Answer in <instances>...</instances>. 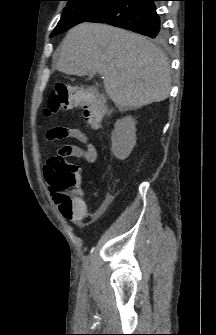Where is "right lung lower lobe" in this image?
<instances>
[{
  "instance_id": "1",
  "label": "right lung lower lobe",
  "mask_w": 216,
  "mask_h": 335,
  "mask_svg": "<svg viewBox=\"0 0 216 335\" xmlns=\"http://www.w3.org/2000/svg\"><path fill=\"white\" fill-rule=\"evenodd\" d=\"M156 0H116L86 22L107 23L156 38L164 33Z\"/></svg>"
}]
</instances>
